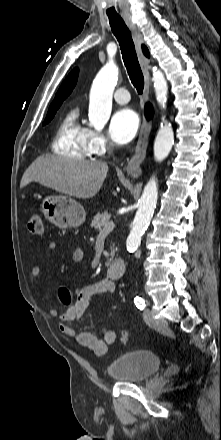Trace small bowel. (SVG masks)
Returning <instances> with one entry per match:
<instances>
[{"label":"small bowel","instance_id":"obj_1","mask_svg":"<svg viewBox=\"0 0 221 440\" xmlns=\"http://www.w3.org/2000/svg\"><path fill=\"white\" fill-rule=\"evenodd\" d=\"M48 250L53 252L56 250L57 245L55 242H49L47 246ZM84 253L81 248L74 250L72 259L74 262L79 263L83 260ZM41 273V266L35 265L32 268V274L35 278ZM34 288L39 293L40 286L35 281ZM115 284L109 278H104L98 282L77 288L74 292L73 298L75 303L73 306H67L70 311L67 313L65 310L59 314L56 309L50 310V315L54 318H59V330L62 334L74 338L81 346L92 350L97 355H104L107 353L108 348L113 344L117 338L115 330L108 329L104 332L103 337L99 338L93 331L87 330L81 333H76L74 329L69 325L70 322L81 319L83 316L89 301L96 295L111 294L114 292Z\"/></svg>","mask_w":221,"mask_h":440}]
</instances>
